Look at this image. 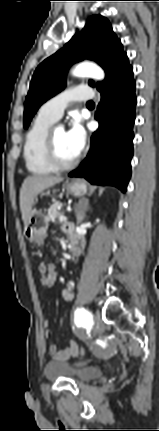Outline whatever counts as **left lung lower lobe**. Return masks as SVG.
I'll return each instance as SVG.
<instances>
[{"label":"left lung lower lobe","instance_id":"left-lung-lower-lobe-1","mask_svg":"<svg viewBox=\"0 0 159 431\" xmlns=\"http://www.w3.org/2000/svg\"><path fill=\"white\" fill-rule=\"evenodd\" d=\"M136 83L129 64L99 91L96 120L99 128L91 137V149L70 177H83L92 184L113 185L127 190L133 156Z\"/></svg>","mask_w":159,"mask_h":431}]
</instances>
